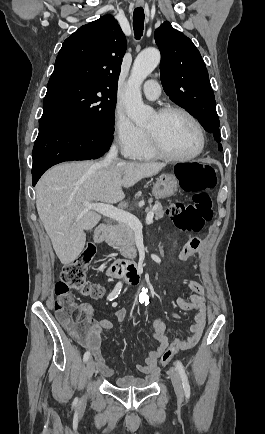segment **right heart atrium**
<instances>
[{"label": "right heart atrium", "mask_w": 265, "mask_h": 434, "mask_svg": "<svg viewBox=\"0 0 265 434\" xmlns=\"http://www.w3.org/2000/svg\"><path fill=\"white\" fill-rule=\"evenodd\" d=\"M126 104L120 101L116 108L114 122L111 123V130L114 131L112 146L119 148L120 157L122 159H132L133 154L138 153V146L132 145L133 141L144 143L142 125H135L129 118ZM122 131V132H119Z\"/></svg>", "instance_id": "1"}]
</instances>
